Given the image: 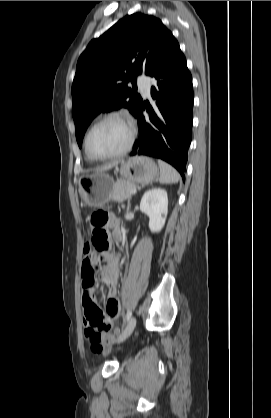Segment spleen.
I'll return each instance as SVG.
<instances>
[{"instance_id": "obj_1", "label": "spleen", "mask_w": 271, "mask_h": 418, "mask_svg": "<svg viewBox=\"0 0 271 418\" xmlns=\"http://www.w3.org/2000/svg\"><path fill=\"white\" fill-rule=\"evenodd\" d=\"M158 165L160 168L159 182L161 184H172L179 181L180 176L178 172L170 164L159 159Z\"/></svg>"}]
</instances>
